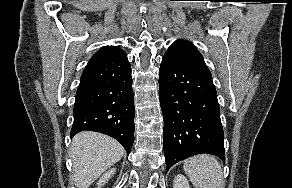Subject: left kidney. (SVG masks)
<instances>
[{"mask_svg": "<svg viewBox=\"0 0 292 188\" xmlns=\"http://www.w3.org/2000/svg\"><path fill=\"white\" fill-rule=\"evenodd\" d=\"M174 188H190L189 182L182 174H177L174 178Z\"/></svg>", "mask_w": 292, "mask_h": 188, "instance_id": "5707ae66", "label": "left kidney"}]
</instances>
